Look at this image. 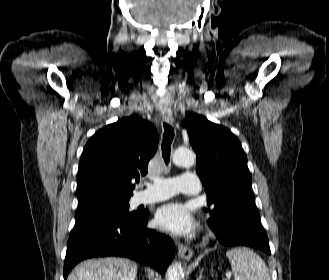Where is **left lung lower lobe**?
I'll return each mask as SVG.
<instances>
[{
    "label": "left lung lower lobe",
    "instance_id": "0a47b994",
    "mask_svg": "<svg viewBox=\"0 0 329 280\" xmlns=\"http://www.w3.org/2000/svg\"><path fill=\"white\" fill-rule=\"evenodd\" d=\"M217 240L227 246H250L271 254L259 212L251 198L239 202L228 213Z\"/></svg>",
    "mask_w": 329,
    "mask_h": 280
}]
</instances>
